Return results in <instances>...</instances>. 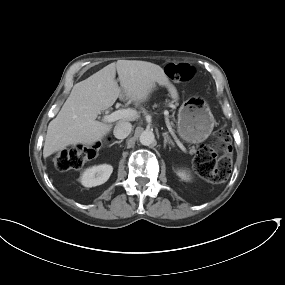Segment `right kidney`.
<instances>
[{"label":"right kidney","mask_w":285,"mask_h":285,"mask_svg":"<svg viewBox=\"0 0 285 285\" xmlns=\"http://www.w3.org/2000/svg\"><path fill=\"white\" fill-rule=\"evenodd\" d=\"M113 172L108 164L93 166L86 169L81 176V183L85 187H95L105 183Z\"/></svg>","instance_id":"obj_1"}]
</instances>
